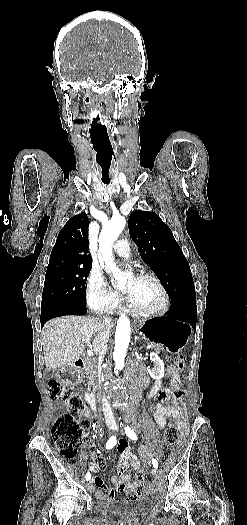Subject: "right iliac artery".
Segmentation results:
<instances>
[{"mask_svg": "<svg viewBox=\"0 0 247 525\" xmlns=\"http://www.w3.org/2000/svg\"><path fill=\"white\" fill-rule=\"evenodd\" d=\"M116 442H117V440H116V436L113 435V436L108 440V442L106 443V449H111V448H113V447L116 445ZM90 479H91V474H90V472H87V474H86V480H90Z\"/></svg>", "mask_w": 247, "mask_h": 525, "instance_id": "82829eb1", "label": "right iliac artery"}]
</instances>
